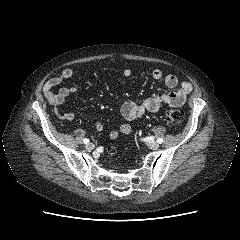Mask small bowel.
I'll return each mask as SVG.
<instances>
[{"mask_svg": "<svg viewBox=\"0 0 240 240\" xmlns=\"http://www.w3.org/2000/svg\"><path fill=\"white\" fill-rule=\"evenodd\" d=\"M76 74V70L67 68L63 70L59 75L49 79L44 85V93L48 102L57 110L60 105H62L65 100L72 94L76 93L78 90V85L76 83H71L67 86L60 87L56 92L53 90L64 82L72 79ZM154 80H163L166 87L173 89L179 87L178 90L169 93H155L142 101H125L120 107V115L125 121L119 127V130H113L110 132V139H116L119 134L129 135L132 131L130 123L142 117L146 112H158L162 109L164 105H169L173 107L182 106L187 99L188 94L192 91L193 87L189 81H180L175 75L168 74L164 75L163 71L160 69H154L151 73ZM136 78V76L131 72V70L126 69L122 72L120 81L126 79ZM62 117L66 120H73L75 114L73 112H65ZM95 128L97 131H102L104 128L103 121L98 119L95 123Z\"/></svg>", "mask_w": 240, "mask_h": 240, "instance_id": "c3829d8e", "label": "small bowel"}]
</instances>
